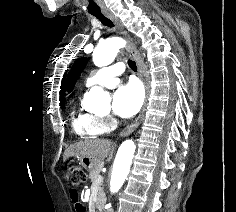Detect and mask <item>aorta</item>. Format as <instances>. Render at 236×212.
<instances>
[{
	"instance_id": "obj_1",
	"label": "aorta",
	"mask_w": 236,
	"mask_h": 212,
	"mask_svg": "<svg viewBox=\"0 0 236 212\" xmlns=\"http://www.w3.org/2000/svg\"><path fill=\"white\" fill-rule=\"evenodd\" d=\"M123 45L124 41L118 37L103 41L93 52L94 64L98 67L111 64ZM84 100L87 108L95 109L100 105L108 104L110 96L104 92L102 87L94 86L86 93ZM135 149V143L131 139L125 140L119 147L110 179L111 193H117L123 186L130 170Z\"/></svg>"
}]
</instances>
